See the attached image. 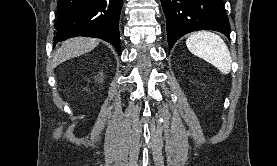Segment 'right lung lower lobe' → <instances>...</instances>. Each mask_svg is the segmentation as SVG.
Returning a JSON list of instances; mask_svg holds the SVG:
<instances>
[{"mask_svg":"<svg viewBox=\"0 0 277 166\" xmlns=\"http://www.w3.org/2000/svg\"><path fill=\"white\" fill-rule=\"evenodd\" d=\"M122 2L123 0H59L55 42L74 36L95 37L110 42L120 54L118 28Z\"/></svg>","mask_w":277,"mask_h":166,"instance_id":"obj_1","label":"right lung lower lobe"}]
</instances>
